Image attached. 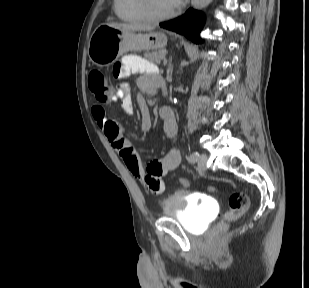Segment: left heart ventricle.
Segmentation results:
<instances>
[{"label": "left heart ventricle", "mask_w": 309, "mask_h": 288, "mask_svg": "<svg viewBox=\"0 0 309 288\" xmlns=\"http://www.w3.org/2000/svg\"><path fill=\"white\" fill-rule=\"evenodd\" d=\"M154 8L158 13H167L175 9L170 0H153Z\"/></svg>", "instance_id": "left-heart-ventricle-1"}]
</instances>
